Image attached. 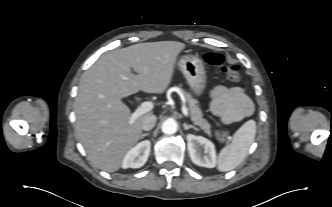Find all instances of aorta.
Here are the masks:
<instances>
[{
  "instance_id": "1",
  "label": "aorta",
  "mask_w": 332,
  "mask_h": 207,
  "mask_svg": "<svg viewBox=\"0 0 332 207\" xmlns=\"http://www.w3.org/2000/svg\"><path fill=\"white\" fill-rule=\"evenodd\" d=\"M177 123L173 119H167L162 124V132L168 135L174 134L177 132Z\"/></svg>"
}]
</instances>
